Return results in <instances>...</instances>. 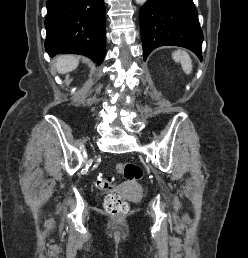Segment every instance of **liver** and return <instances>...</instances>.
Returning <instances> with one entry per match:
<instances>
[{
  "mask_svg": "<svg viewBox=\"0 0 248 258\" xmlns=\"http://www.w3.org/2000/svg\"><path fill=\"white\" fill-rule=\"evenodd\" d=\"M79 59L74 55H61L55 60L57 71L61 74L73 71L78 66Z\"/></svg>",
  "mask_w": 248,
  "mask_h": 258,
  "instance_id": "obj_1",
  "label": "liver"
}]
</instances>
